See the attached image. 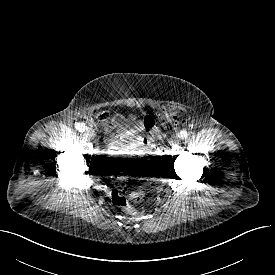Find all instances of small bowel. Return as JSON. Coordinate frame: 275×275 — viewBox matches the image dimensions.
I'll return each instance as SVG.
<instances>
[{
	"label": "small bowel",
	"mask_w": 275,
	"mask_h": 275,
	"mask_svg": "<svg viewBox=\"0 0 275 275\" xmlns=\"http://www.w3.org/2000/svg\"><path fill=\"white\" fill-rule=\"evenodd\" d=\"M145 120L142 121L135 115H116L105 134L110 152L117 153L122 149L131 152L140 150L143 142L142 134L146 127Z\"/></svg>",
	"instance_id": "small-bowel-1"
}]
</instances>
